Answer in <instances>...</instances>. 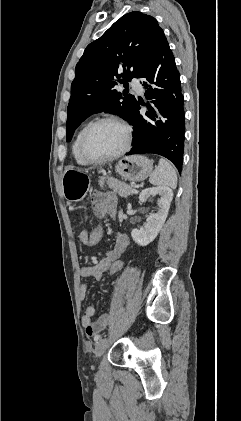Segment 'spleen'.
I'll use <instances>...</instances> for the list:
<instances>
[{"instance_id": "spleen-1", "label": "spleen", "mask_w": 241, "mask_h": 421, "mask_svg": "<svg viewBox=\"0 0 241 421\" xmlns=\"http://www.w3.org/2000/svg\"><path fill=\"white\" fill-rule=\"evenodd\" d=\"M149 182L153 185L169 186L175 189L177 187L176 171L168 161L161 158L158 166L150 175Z\"/></svg>"}]
</instances>
